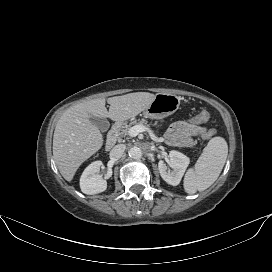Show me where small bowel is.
I'll use <instances>...</instances> for the list:
<instances>
[{"mask_svg":"<svg viewBox=\"0 0 272 272\" xmlns=\"http://www.w3.org/2000/svg\"><path fill=\"white\" fill-rule=\"evenodd\" d=\"M205 129L191 122L178 121L173 123L166 132V141L172 146H191L192 137L203 135Z\"/></svg>","mask_w":272,"mask_h":272,"instance_id":"c3829d8e","label":"small bowel"}]
</instances>
